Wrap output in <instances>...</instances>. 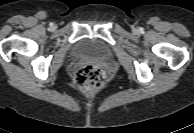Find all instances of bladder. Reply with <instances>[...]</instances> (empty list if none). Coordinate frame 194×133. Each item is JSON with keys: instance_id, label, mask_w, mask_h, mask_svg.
Wrapping results in <instances>:
<instances>
[{"instance_id": "31cf9c89", "label": "bladder", "mask_w": 194, "mask_h": 133, "mask_svg": "<svg viewBox=\"0 0 194 133\" xmlns=\"http://www.w3.org/2000/svg\"><path fill=\"white\" fill-rule=\"evenodd\" d=\"M72 54L81 58L106 59L111 50L107 43L98 38H82L72 48Z\"/></svg>"}]
</instances>
